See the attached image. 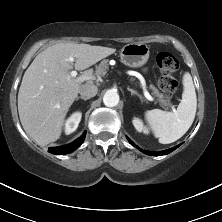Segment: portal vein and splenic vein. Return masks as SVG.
I'll list each match as a JSON object with an SVG mask.
<instances>
[{"instance_id":"18ae733b","label":"portal vein and splenic vein","mask_w":222,"mask_h":222,"mask_svg":"<svg viewBox=\"0 0 222 222\" xmlns=\"http://www.w3.org/2000/svg\"><path fill=\"white\" fill-rule=\"evenodd\" d=\"M69 61H71V62H73L74 61V58L73 57H70L69 58ZM70 76L71 77H76L77 76V72L76 71H71L70 72ZM144 85V84H143ZM144 96L149 100V101H153L154 99H153V97L148 93V91L147 90H145L144 89ZM173 109V111H176V109L175 108H172Z\"/></svg>"}]
</instances>
